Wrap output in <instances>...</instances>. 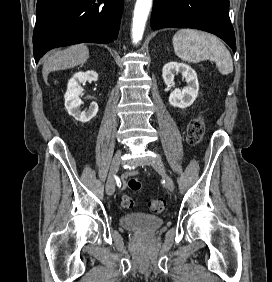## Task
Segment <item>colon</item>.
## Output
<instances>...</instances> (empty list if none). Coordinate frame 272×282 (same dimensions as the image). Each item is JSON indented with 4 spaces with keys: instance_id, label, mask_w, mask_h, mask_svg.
Segmentation results:
<instances>
[{
    "instance_id": "colon-1",
    "label": "colon",
    "mask_w": 272,
    "mask_h": 282,
    "mask_svg": "<svg viewBox=\"0 0 272 282\" xmlns=\"http://www.w3.org/2000/svg\"><path fill=\"white\" fill-rule=\"evenodd\" d=\"M205 121L202 118L194 119L188 126L187 129V141L190 145H198L205 132ZM128 187L132 190H138L141 186L140 181L136 178L128 179ZM121 206L124 209H130L134 206V201L132 197L124 195L121 197ZM165 200L164 199H152L148 203V208L150 212L154 215H159L165 210Z\"/></svg>"
}]
</instances>
